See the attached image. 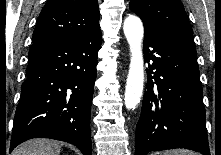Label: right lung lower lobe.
<instances>
[{"label": "right lung lower lobe", "instance_id": "right-lung-lower-lobe-1", "mask_svg": "<svg viewBox=\"0 0 221 155\" xmlns=\"http://www.w3.org/2000/svg\"><path fill=\"white\" fill-rule=\"evenodd\" d=\"M101 31L33 42L12 130L10 152L31 138H51L91 155L90 111Z\"/></svg>", "mask_w": 221, "mask_h": 155}]
</instances>
